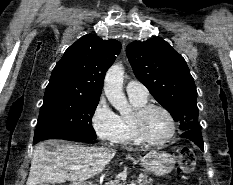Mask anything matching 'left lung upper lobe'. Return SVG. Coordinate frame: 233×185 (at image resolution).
<instances>
[{"label": "left lung upper lobe", "mask_w": 233, "mask_h": 185, "mask_svg": "<svg viewBox=\"0 0 233 185\" xmlns=\"http://www.w3.org/2000/svg\"><path fill=\"white\" fill-rule=\"evenodd\" d=\"M126 54L137 79L180 123V129H197V91L184 58L160 38L132 42Z\"/></svg>", "instance_id": "obj_1"}]
</instances>
